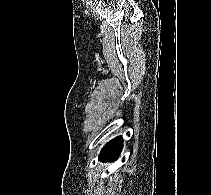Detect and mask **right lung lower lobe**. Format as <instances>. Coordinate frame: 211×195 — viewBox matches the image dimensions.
Segmentation results:
<instances>
[{
	"label": "right lung lower lobe",
	"mask_w": 211,
	"mask_h": 195,
	"mask_svg": "<svg viewBox=\"0 0 211 195\" xmlns=\"http://www.w3.org/2000/svg\"><path fill=\"white\" fill-rule=\"evenodd\" d=\"M122 147L123 138L122 136H118L103 147L99 155V161L111 162L113 160H116L122 150Z\"/></svg>",
	"instance_id": "obj_1"
}]
</instances>
